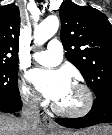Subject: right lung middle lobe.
I'll return each mask as SVG.
<instances>
[{
	"mask_svg": "<svg viewBox=\"0 0 112 135\" xmlns=\"http://www.w3.org/2000/svg\"><path fill=\"white\" fill-rule=\"evenodd\" d=\"M18 62H0V98L19 100Z\"/></svg>",
	"mask_w": 112,
	"mask_h": 135,
	"instance_id": "obj_1",
	"label": "right lung middle lobe"
}]
</instances>
